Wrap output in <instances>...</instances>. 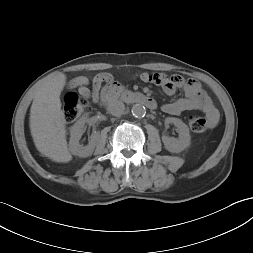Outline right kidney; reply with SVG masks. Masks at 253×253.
I'll list each match as a JSON object with an SVG mask.
<instances>
[{"instance_id":"ca27d5eb","label":"right kidney","mask_w":253,"mask_h":253,"mask_svg":"<svg viewBox=\"0 0 253 253\" xmlns=\"http://www.w3.org/2000/svg\"><path fill=\"white\" fill-rule=\"evenodd\" d=\"M86 123V118H80L70 129V141L69 150L73 155L79 157H88L92 155L96 145L99 142L100 135L98 132L92 133L90 136V141L87 146H83L79 143L81 136L84 132V127Z\"/></svg>"}]
</instances>
